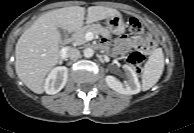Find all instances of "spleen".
Listing matches in <instances>:
<instances>
[{"label":"spleen","mask_w":194,"mask_h":133,"mask_svg":"<svg viewBox=\"0 0 194 133\" xmlns=\"http://www.w3.org/2000/svg\"><path fill=\"white\" fill-rule=\"evenodd\" d=\"M164 69V55L161 48L153 51L145 63L142 73V89L149 90L160 79Z\"/></svg>","instance_id":"3e777b00"}]
</instances>
